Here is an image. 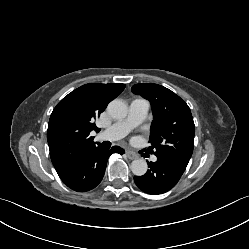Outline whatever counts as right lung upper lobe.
Listing matches in <instances>:
<instances>
[{
    "instance_id": "1",
    "label": "right lung upper lobe",
    "mask_w": 249,
    "mask_h": 249,
    "mask_svg": "<svg viewBox=\"0 0 249 249\" xmlns=\"http://www.w3.org/2000/svg\"><path fill=\"white\" fill-rule=\"evenodd\" d=\"M125 88L124 84H85L64 97L54 108L47 130L50 157L64 176L95 143L89 134L96 118Z\"/></svg>"
}]
</instances>
